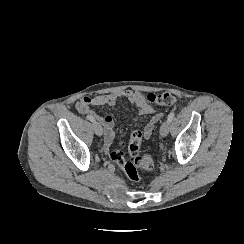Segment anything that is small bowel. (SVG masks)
Listing matches in <instances>:
<instances>
[{
	"instance_id": "c3829d8e",
	"label": "small bowel",
	"mask_w": 244,
	"mask_h": 244,
	"mask_svg": "<svg viewBox=\"0 0 244 244\" xmlns=\"http://www.w3.org/2000/svg\"><path fill=\"white\" fill-rule=\"evenodd\" d=\"M138 93L140 92L134 90H126L121 93L102 94L93 97L84 96L78 101L77 110L81 115L84 113L91 114L93 117L96 118L99 123H101L104 130V149L106 151H108L114 143V119L111 115H99L91 107L115 106L119 98L126 99L135 106L138 116H150V119L143 130V135L148 138L151 136L156 124L161 121L162 115L158 113L156 109L147 102L142 106L136 105L133 101V98Z\"/></svg>"
}]
</instances>
